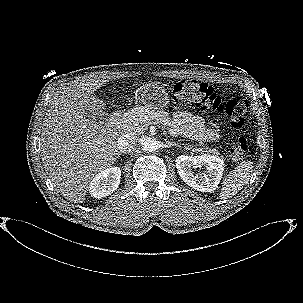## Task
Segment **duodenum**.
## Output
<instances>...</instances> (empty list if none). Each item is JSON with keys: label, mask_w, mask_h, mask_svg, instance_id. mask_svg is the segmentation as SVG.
Here are the masks:
<instances>
[{"label": "duodenum", "mask_w": 303, "mask_h": 303, "mask_svg": "<svg viewBox=\"0 0 303 303\" xmlns=\"http://www.w3.org/2000/svg\"><path fill=\"white\" fill-rule=\"evenodd\" d=\"M122 120H123V112H121V111L115 112V113L111 116V118H110V120H109V125H110L111 127L116 126V125H118Z\"/></svg>", "instance_id": "obj_1"}]
</instances>
